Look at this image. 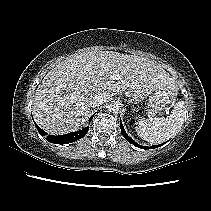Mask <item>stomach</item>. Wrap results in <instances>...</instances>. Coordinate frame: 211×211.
<instances>
[{"label": "stomach", "instance_id": "1", "mask_svg": "<svg viewBox=\"0 0 211 211\" xmlns=\"http://www.w3.org/2000/svg\"><path fill=\"white\" fill-rule=\"evenodd\" d=\"M152 94L151 96H149ZM177 94V87L175 83H168L162 87L154 89L151 93L147 91H132L129 97L133 101H141L144 98L149 97L147 102V114L149 116H155L159 112L163 111L168 104H170Z\"/></svg>", "mask_w": 211, "mask_h": 211}]
</instances>
